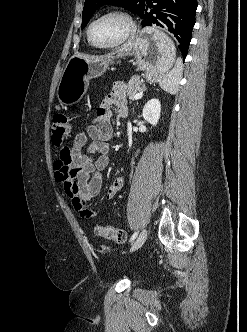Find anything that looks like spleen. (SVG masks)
Segmentation results:
<instances>
[{"instance_id": "spleen-1", "label": "spleen", "mask_w": 247, "mask_h": 332, "mask_svg": "<svg viewBox=\"0 0 247 332\" xmlns=\"http://www.w3.org/2000/svg\"><path fill=\"white\" fill-rule=\"evenodd\" d=\"M183 65L182 60L176 61L175 67L162 79L159 80L160 87L170 94H176L179 89V81L182 76Z\"/></svg>"}]
</instances>
